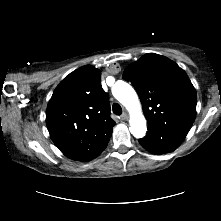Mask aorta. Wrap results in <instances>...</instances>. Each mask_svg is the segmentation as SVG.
<instances>
[{"mask_svg": "<svg viewBox=\"0 0 221 221\" xmlns=\"http://www.w3.org/2000/svg\"><path fill=\"white\" fill-rule=\"evenodd\" d=\"M112 94L129 111L131 134L135 138H143L147 131L146 119L135 90L128 83L120 81L112 87Z\"/></svg>", "mask_w": 221, "mask_h": 221, "instance_id": "762f6f07", "label": "aorta"}]
</instances>
